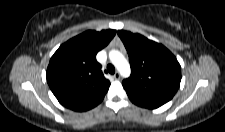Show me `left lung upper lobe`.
Listing matches in <instances>:
<instances>
[{"label": "left lung upper lobe", "instance_id": "5c2ea615", "mask_svg": "<svg viewBox=\"0 0 225 132\" xmlns=\"http://www.w3.org/2000/svg\"><path fill=\"white\" fill-rule=\"evenodd\" d=\"M131 66V75L122 84L129 98L142 101L168 102L181 81V66L162 44L140 34L120 30Z\"/></svg>", "mask_w": 225, "mask_h": 132}]
</instances>
